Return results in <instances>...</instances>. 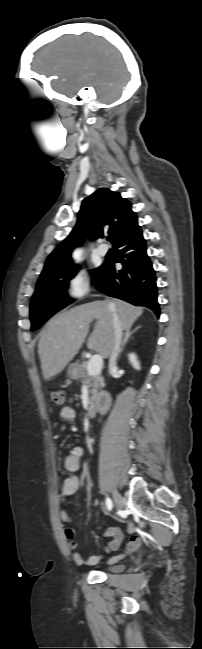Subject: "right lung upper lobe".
<instances>
[{
  "instance_id": "1",
  "label": "right lung upper lobe",
  "mask_w": 202,
  "mask_h": 649,
  "mask_svg": "<svg viewBox=\"0 0 202 649\" xmlns=\"http://www.w3.org/2000/svg\"><path fill=\"white\" fill-rule=\"evenodd\" d=\"M137 229L140 226L131 203L118 192L107 188L98 189L82 201L74 229L49 255L40 278L74 268L71 252L83 243L85 234L93 240L108 234L114 244Z\"/></svg>"
}]
</instances>
